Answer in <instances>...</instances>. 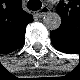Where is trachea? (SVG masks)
Returning <instances> with one entry per match:
<instances>
[{"instance_id":"obj_1","label":"trachea","mask_w":80,"mask_h":80,"mask_svg":"<svg viewBox=\"0 0 80 80\" xmlns=\"http://www.w3.org/2000/svg\"><path fill=\"white\" fill-rule=\"evenodd\" d=\"M42 4L39 1H31L30 3V10L36 11L41 8Z\"/></svg>"}]
</instances>
